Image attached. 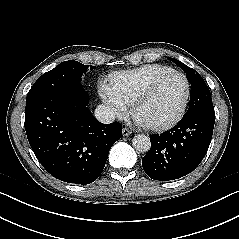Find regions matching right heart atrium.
<instances>
[{
    "mask_svg": "<svg viewBox=\"0 0 239 239\" xmlns=\"http://www.w3.org/2000/svg\"><path fill=\"white\" fill-rule=\"evenodd\" d=\"M99 91L103 102L112 115L121 118L127 114V104L120 99L111 85L103 83L100 85Z\"/></svg>",
    "mask_w": 239,
    "mask_h": 239,
    "instance_id": "1",
    "label": "right heart atrium"
}]
</instances>
